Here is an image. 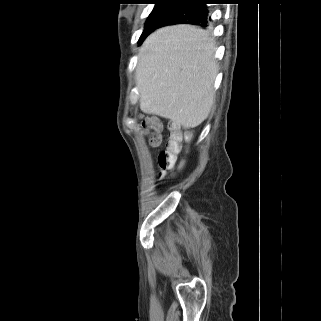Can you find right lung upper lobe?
Returning <instances> with one entry per match:
<instances>
[{
    "label": "right lung upper lobe",
    "mask_w": 321,
    "mask_h": 321,
    "mask_svg": "<svg viewBox=\"0 0 321 321\" xmlns=\"http://www.w3.org/2000/svg\"><path fill=\"white\" fill-rule=\"evenodd\" d=\"M154 1H169V2H173V4L177 6V5L187 4L192 1H204V0H154Z\"/></svg>",
    "instance_id": "cb5924a9"
}]
</instances>
